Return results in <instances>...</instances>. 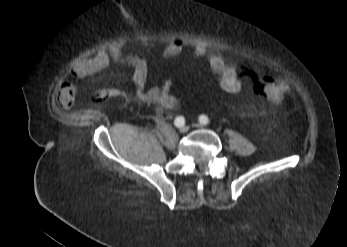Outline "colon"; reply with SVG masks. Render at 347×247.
<instances>
[{"label":"colon","instance_id":"1","mask_svg":"<svg viewBox=\"0 0 347 247\" xmlns=\"http://www.w3.org/2000/svg\"><path fill=\"white\" fill-rule=\"evenodd\" d=\"M258 89L262 93V98L269 104H277L285 97L286 86L279 80L278 76L271 71H264L258 77ZM117 94L105 91L98 92L94 96L97 103L103 102Z\"/></svg>","mask_w":347,"mask_h":247}]
</instances>
